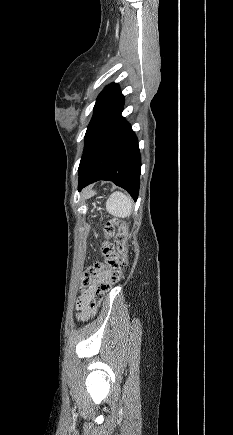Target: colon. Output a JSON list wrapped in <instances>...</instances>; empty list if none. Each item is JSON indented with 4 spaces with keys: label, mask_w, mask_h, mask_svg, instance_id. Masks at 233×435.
Listing matches in <instances>:
<instances>
[{
    "label": "colon",
    "mask_w": 233,
    "mask_h": 435,
    "mask_svg": "<svg viewBox=\"0 0 233 435\" xmlns=\"http://www.w3.org/2000/svg\"><path fill=\"white\" fill-rule=\"evenodd\" d=\"M104 240L101 244L102 261H97L87 268L81 277V287L88 288L96 285L93 299L89 304L86 314L93 316L106 294L119 282L128 263V246L126 241L127 225L117 219H112L104 225ZM104 270H111V277L107 280L100 279L99 275Z\"/></svg>",
    "instance_id": "obj_1"
}]
</instances>
